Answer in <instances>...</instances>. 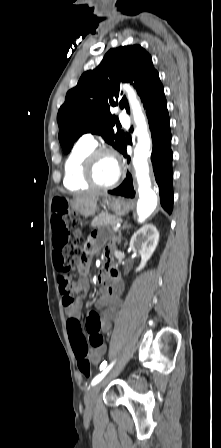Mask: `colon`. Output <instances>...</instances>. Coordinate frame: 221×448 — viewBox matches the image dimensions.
<instances>
[{"label": "colon", "mask_w": 221, "mask_h": 448, "mask_svg": "<svg viewBox=\"0 0 221 448\" xmlns=\"http://www.w3.org/2000/svg\"><path fill=\"white\" fill-rule=\"evenodd\" d=\"M54 209L62 213V218L52 220L54 229L53 259L56 269L61 273L59 279L62 303L65 308H73L84 294L82 284L75 282L70 275L72 264L81 263L85 265L90 258V246L88 240L83 239L77 233L79 225L78 216L68 212V201L59 197L54 200ZM68 332L77 359V368L86 378L91 375V364L88 359L89 346L97 348L104 344V337L100 333V317L91 310L85 318V332L87 340H82L79 334L82 332L81 323L77 319H69L67 323Z\"/></svg>", "instance_id": "obj_1"}]
</instances>
